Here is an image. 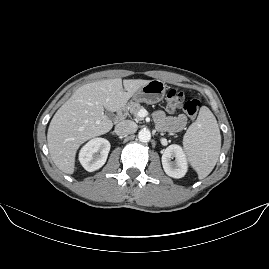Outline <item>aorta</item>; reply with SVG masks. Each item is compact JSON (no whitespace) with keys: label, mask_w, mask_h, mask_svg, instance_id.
<instances>
[{"label":"aorta","mask_w":269,"mask_h":269,"mask_svg":"<svg viewBox=\"0 0 269 269\" xmlns=\"http://www.w3.org/2000/svg\"><path fill=\"white\" fill-rule=\"evenodd\" d=\"M138 138L141 142H149L151 139V133L149 129H141Z\"/></svg>","instance_id":"762f6f07"}]
</instances>
